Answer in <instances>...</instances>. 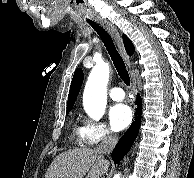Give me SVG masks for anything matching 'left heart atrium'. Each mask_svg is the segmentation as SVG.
<instances>
[{"label": "left heart atrium", "instance_id": "39dd6f15", "mask_svg": "<svg viewBox=\"0 0 194 178\" xmlns=\"http://www.w3.org/2000/svg\"><path fill=\"white\" fill-rule=\"evenodd\" d=\"M109 120L114 130H122L131 123L132 111L126 104H116L109 110Z\"/></svg>", "mask_w": 194, "mask_h": 178}]
</instances>
